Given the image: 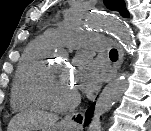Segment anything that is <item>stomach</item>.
<instances>
[{
  "mask_svg": "<svg viewBox=\"0 0 151 131\" xmlns=\"http://www.w3.org/2000/svg\"><path fill=\"white\" fill-rule=\"evenodd\" d=\"M75 129L76 127L73 124L63 121L51 126L49 129L44 131H75Z\"/></svg>",
  "mask_w": 151,
  "mask_h": 131,
  "instance_id": "0dacf381",
  "label": "stomach"
}]
</instances>
